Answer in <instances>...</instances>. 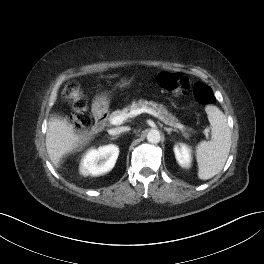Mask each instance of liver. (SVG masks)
Returning <instances> with one entry per match:
<instances>
[{
  "label": "liver",
  "mask_w": 264,
  "mask_h": 264,
  "mask_svg": "<svg viewBox=\"0 0 264 264\" xmlns=\"http://www.w3.org/2000/svg\"><path fill=\"white\" fill-rule=\"evenodd\" d=\"M90 135L78 134L67 121L51 117L46 133V149L51 162L58 167L61 159L91 140Z\"/></svg>",
  "instance_id": "1"
}]
</instances>
